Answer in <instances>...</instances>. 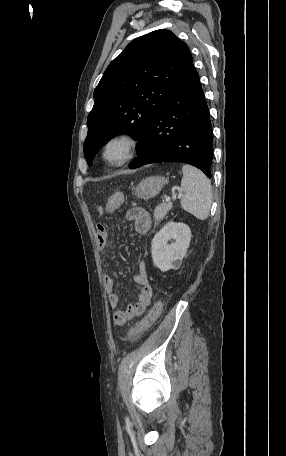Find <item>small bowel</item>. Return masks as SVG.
Masks as SVG:
<instances>
[{
  "instance_id": "small-bowel-1",
  "label": "small bowel",
  "mask_w": 286,
  "mask_h": 456,
  "mask_svg": "<svg viewBox=\"0 0 286 456\" xmlns=\"http://www.w3.org/2000/svg\"><path fill=\"white\" fill-rule=\"evenodd\" d=\"M117 207L110 205L106 206L108 212H112ZM126 219L133 223L134 229L139 234L147 233L151 228L150 213L142 207H132L126 212ZM97 245L100 251H104L108 246L109 235L106 227L99 224L96 229ZM133 282L140 287L138 300L133 304H128L124 308H118L120 297L115 293V282L108 275L104 274L103 283L108 292L109 305L116 309L113 314V322L115 325L121 326L136 316L145 312L151 302L152 287L149 282L148 268L146 261H141L138 265L137 273L133 277Z\"/></svg>"
}]
</instances>
